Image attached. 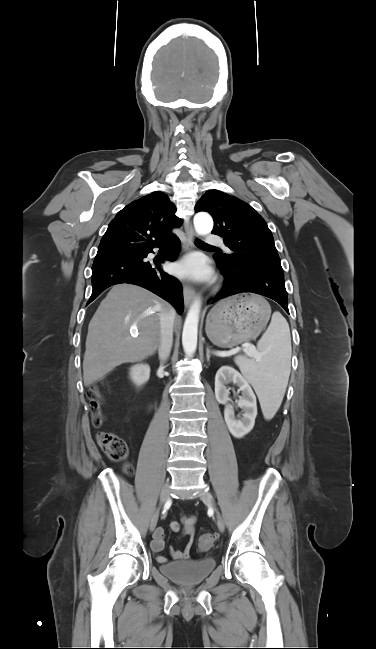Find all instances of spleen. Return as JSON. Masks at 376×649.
I'll return each mask as SVG.
<instances>
[{
    "mask_svg": "<svg viewBox=\"0 0 376 649\" xmlns=\"http://www.w3.org/2000/svg\"><path fill=\"white\" fill-rule=\"evenodd\" d=\"M257 349L258 361L239 356L235 363L255 389L264 417L271 419L282 403L291 369L290 329L280 312L273 313Z\"/></svg>",
    "mask_w": 376,
    "mask_h": 649,
    "instance_id": "1",
    "label": "spleen"
}]
</instances>
